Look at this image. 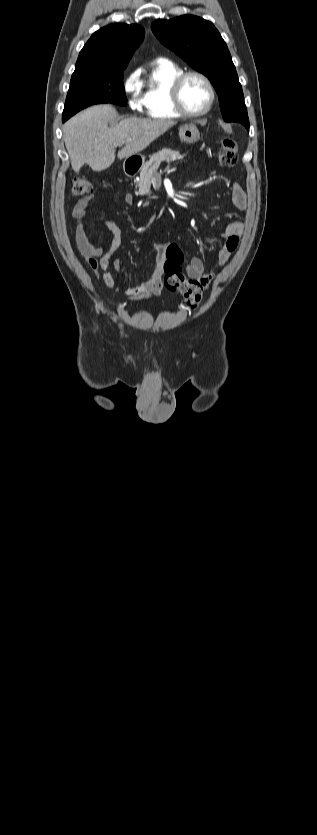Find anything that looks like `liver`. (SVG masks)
I'll return each instance as SVG.
<instances>
[{"instance_id": "obj_1", "label": "liver", "mask_w": 317, "mask_h": 835, "mask_svg": "<svg viewBox=\"0 0 317 835\" xmlns=\"http://www.w3.org/2000/svg\"><path fill=\"white\" fill-rule=\"evenodd\" d=\"M116 118L113 106L96 105L64 124L63 139L74 171L78 172L84 164L94 171L105 170L114 162L117 146L125 144L117 157L128 158L143 151L176 124L170 120L127 118L109 125Z\"/></svg>"}]
</instances>
